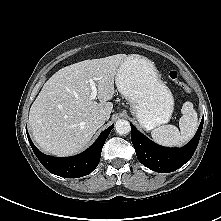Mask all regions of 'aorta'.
Listing matches in <instances>:
<instances>
[{
  "instance_id": "aorta-1",
  "label": "aorta",
  "mask_w": 221,
  "mask_h": 221,
  "mask_svg": "<svg viewBox=\"0 0 221 221\" xmlns=\"http://www.w3.org/2000/svg\"><path fill=\"white\" fill-rule=\"evenodd\" d=\"M115 130L119 135H126L130 132V123L124 119L117 120Z\"/></svg>"
}]
</instances>
